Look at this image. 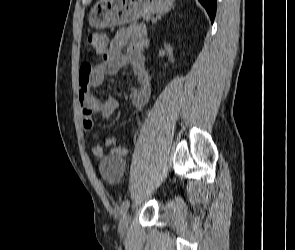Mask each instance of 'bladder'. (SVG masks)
Instances as JSON below:
<instances>
[{"instance_id": "obj_1", "label": "bladder", "mask_w": 295, "mask_h": 250, "mask_svg": "<svg viewBox=\"0 0 295 250\" xmlns=\"http://www.w3.org/2000/svg\"><path fill=\"white\" fill-rule=\"evenodd\" d=\"M123 168L122 159L117 157L106 156L99 164L100 173L108 182H117L121 178Z\"/></svg>"}]
</instances>
